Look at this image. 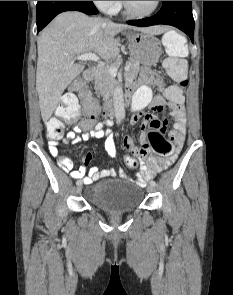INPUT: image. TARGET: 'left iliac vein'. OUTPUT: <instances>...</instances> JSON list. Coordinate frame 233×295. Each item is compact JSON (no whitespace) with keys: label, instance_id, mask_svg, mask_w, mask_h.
Here are the masks:
<instances>
[{"label":"left iliac vein","instance_id":"4c4485c4","mask_svg":"<svg viewBox=\"0 0 233 295\" xmlns=\"http://www.w3.org/2000/svg\"><path fill=\"white\" fill-rule=\"evenodd\" d=\"M154 191H155V187H154V186L149 185V186L147 187V192H148V193H153Z\"/></svg>","mask_w":233,"mask_h":295}]
</instances>
